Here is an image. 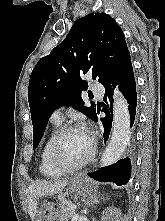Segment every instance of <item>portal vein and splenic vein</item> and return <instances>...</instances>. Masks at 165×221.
Listing matches in <instances>:
<instances>
[{
    "mask_svg": "<svg viewBox=\"0 0 165 221\" xmlns=\"http://www.w3.org/2000/svg\"><path fill=\"white\" fill-rule=\"evenodd\" d=\"M71 209L75 210L76 209V206L74 204H71L70 205Z\"/></svg>",
    "mask_w": 165,
    "mask_h": 221,
    "instance_id": "1",
    "label": "portal vein and splenic vein"
}]
</instances>
